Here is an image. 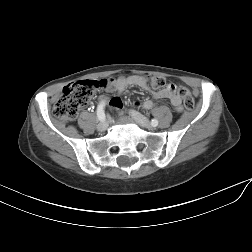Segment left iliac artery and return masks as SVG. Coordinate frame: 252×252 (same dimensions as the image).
Listing matches in <instances>:
<instances>
[{"label":"left iliac artery","mask_w":252,"mask_h":252,"mask_svg":"<svg viewBox=\"0 0 252 252\" xmlns=\"http://www.w3.org/2000/svg\"><path fill=\"white\" fill-rule=\"evenodd\" d=\"M151 125H152L153 127H156V126L158 125V120H157V119H152Z\"/></svg>","instance_id":"left-iliac-artery-1"}]
</instances>
